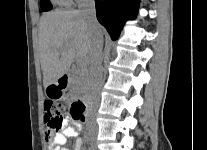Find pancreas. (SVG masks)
I'll list each match as a JSON object with an SVG mask.
<instances>
[{
	"label": "pancreas",
	"mask_w": 207,
	"mask_h": 150,
	"mask_svg": "<svg viewBox=\"0 0 207 150\" xmlns=\"http://www.w3.org/2000/svg\"><path fill=\"white\" fill-rule=\"evenodd\" d=\"M86 65L81 66L80 69L75 71L76 76L71 80V93H80L88 88L90 83V75L86 68Z\"/></svg>",
	"instance_id": "obj_1"
}]
</instances>
